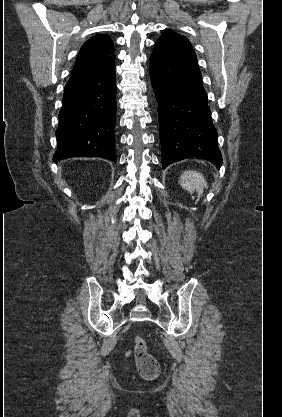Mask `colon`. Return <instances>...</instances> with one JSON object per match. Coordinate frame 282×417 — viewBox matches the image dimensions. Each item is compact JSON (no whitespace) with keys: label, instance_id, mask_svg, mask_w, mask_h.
I'll list each match as a JSON object with an SVG mask.
<instances>
[{"label":"colon","instance_id":"5ec220e1","mask_svg":"<svg viewBox=\"0 0 282 417\" xmlns=\"http://www.w3.org/2000/svg\"><path fill=\"white\" fill-rule=\"evenodd\" d=\"M136 362L139 374L145 379H154L160 372L159 362L148 352L146 341L139 335L134 338Z\"/></svg>","mask_w":282,"mask_h":417}]
</instances>
